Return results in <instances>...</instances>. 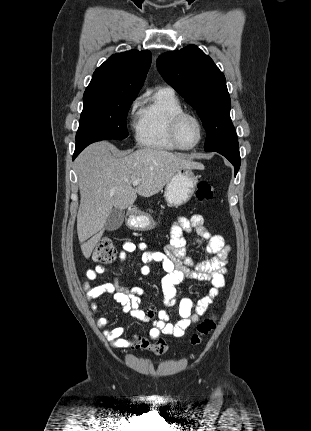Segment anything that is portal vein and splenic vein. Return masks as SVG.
Wrapping results in <instances>:
<instances>
[{
  "instance_id": "1",
  "label": "portal vein and splenic vein",
  "mask_w": 311,
  "mask_h": 431,
  "mask_svg": "<svg viewBox=\"0 0 311 431\" xmlns=\"http://www.w3.org/2000/svg\"><path fill=\"white\" fill-rule=\"evenodd\" d=\"M140 182H142V180H134V182H132V186H138Z\"/></svg>"
}]
</instances>
